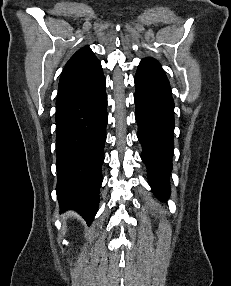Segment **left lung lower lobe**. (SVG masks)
I'll use <instances>...</instances> for the list:
<instances>
[{"mask_svg":"<svg viewBox=\"0 0 231 286\" xmlns=\"http://www.w3.org/2000/svg\"><path fill=\"white\" fill-rule=\"evenodd\" d=\"M138 138L155 195L164 200L170 193L172 168L174 102L164 70L153 58L143 59L135 76Z\"/></svg>","mask_w":231,"mask_h":286,"instance_id":"obj_1","label":"left lung lower lobe"}]
</instances>
